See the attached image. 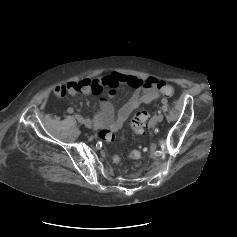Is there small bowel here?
<instances>
[{
  "instance_id": "obj_1",
  "label": "small bowel",
  "mask_w": 237,
  "mask_h": 237,
  "mask_svg": "<svg viewBox=\"0 0 237 237\" xmlns=\"http://www.w3.org/2000/svg\"><path fill=\"white\" fill-rule=\"evenodd\" d=\"M120 85H128L134 89L132 97L114 116L112 104L102 99L99 102V108L95 114V122L99 127H107L112 131L119 129L126 121L128 116L142 105L150 104L158 98L159 80L155 77L139 79L134 76H127L121 73H111L102 78L85 79L79 82H70L59 85L54 89L57 97H63L66 94H101L106 91L110 96L116 92Z\"/></svg>"
}]
</instances>
